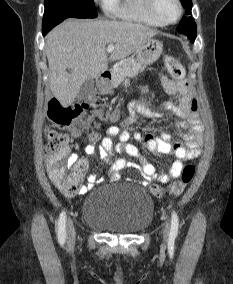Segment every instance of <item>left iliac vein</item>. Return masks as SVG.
I'll return each mask as SVG.
<instances>
[{
    "instance_id": "1",
    "label": "left iliac vein",
    "mask_w": 233,
    "mask_h": 284,
    "mask_svg": "<svg viewBox=\"0 0 233 284\" xmlns=\"http://www.w3.org/2000/svg\"><path fill=\"white\" fill-rule=\"evenodd\" d=\"M168 235H169V225L166 224V225H165V228H164V232H163V238H164V240H167Z\"/></svg>"
}]
</instances>
